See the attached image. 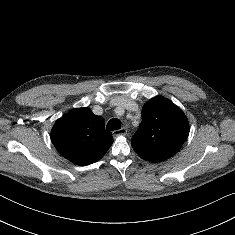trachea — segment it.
Wrapping results in <instances>:
<instances>
[{
	"label": "trachea",
	"instance_id": "1",
	"mask_svg": "<svg viewBox=\"0 0 235 235\" xmlns=\"http://www.w3.org/2000/svg\"><path fill=\"white\" fill-rule=\"evenodd\" d=\"M106 129L109 131L121 129V122L117 118L109 120L107 123Z\"/></svg>",
	"mask_w": 235,
	"mask_h": 235
}]
</instances>
